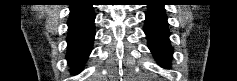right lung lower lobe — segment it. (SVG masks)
Instances as JSON below:
<instances>
[{
    "mask_svg": "<svg viewBox=\"0 0 237 81\" xmlns=\"http://www.w3.org/2000/svg\"><path fill=\"white\" fill-rule=\"evenodd\" d=\"M94 19L91 5H70L66 58L74 74L80 72L91 52L95 36Z\"/></svg>",
    "mask_w": 237,
    "mask_h": 81,
    "instance_id": "right-lung-lower-lobe-1",
    "label": "right lung lower lobe"
}]
</instances>
